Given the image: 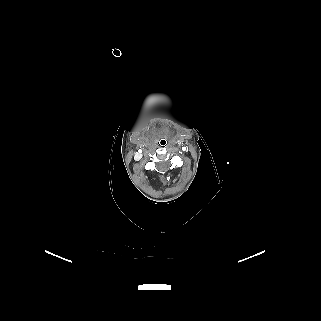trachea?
I'll return each instance as SVG.
<instances>
[{
  "instance_id": "obj_1",
  "label": "trachea",
  "mask_w": 321,
  "mask_h": 321,
  "mask_svg": "<svg viewBox=\"0 0 321 321\" xmlns=\"http://www.w3.org/2000/svg\"><path fill=\"white\" fill-rule=\"evenodd\" d=\"M160 145H161V147H166V145H167V140L165 139V138H162L161 140H160Z\"/></svg>"
}]
</instances>
